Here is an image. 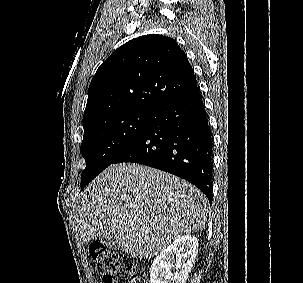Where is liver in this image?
Wrapping results in <instances>:
<instances>
[{"label": "liver", "mask_w": 303, "mask_h": 283, "mask_svg": "<svg viewBox=\"0 0 303 283\" xmlns=\"http://www.w3.org/2000/svg\"><path fill=\"white\" fill-rule=\"evenodd\" d=\"M82 244L114 234L133 258H151L175 239L203 229L207 199L189 182L135 163L109 166L80 194Z\"/></svg>", "instance_id": "1"}]
</instances>
